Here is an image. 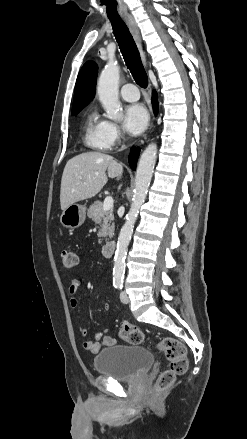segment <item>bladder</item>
<instances>
[{
  "label": "bladder",
  "mask_w": 247,
  "mask_h": 439,
  "mask_svg": "<svg viewBox=\"0 0 247 439\" xmlns=\"http://www.w3.org/2000/svg\"><path fill=\"white\" fill-rule=\"evenodd\" d=\"M153 361V355L144 347L113 345L101 350L93 364L99 374L118 381H133L146 373Z\"/></svg>",
  "instance_id": "31cf9c89"
}]
</instances>
